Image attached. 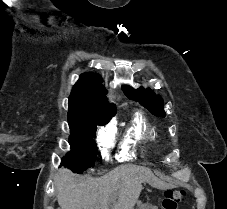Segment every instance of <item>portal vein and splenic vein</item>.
Masks as SVG:
<instances>
[{
	"instance_id": "portal-vein-and-splenic-vein-1",
	"label": "portal vein and splenic vein",
	"mask_w": 227,
	"mask_h": 209,
	"mask_svg": "<svg viewBox=\"0 0 227 209\" xmlns=\"http://www.w3.org/2000/svg\"><path fill=\"white\" fill-rule=\"evenodd\" d=\"M141 206H142V208H141V209H144L143 207H144L145 205H144V204H142Z\"/></svg>"
}]
</instances>
